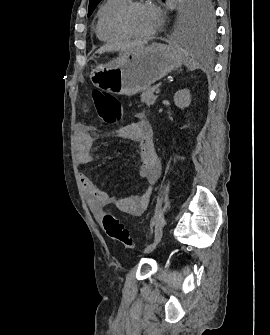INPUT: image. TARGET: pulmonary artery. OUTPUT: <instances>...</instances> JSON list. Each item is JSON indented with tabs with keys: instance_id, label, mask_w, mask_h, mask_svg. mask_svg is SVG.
<instances>
[{
	"instance_id": "pulmonary-artery-1",
	"label": "pulmonary artery",
	"mask_w": 270,
	"mask_h": 335,
	"mask_svg": "<svg viewBox=\"0 0 270 335\" xmlns=\"http://www.w3.org/2000/svg\"><path fill=\"white\" fill-rule=\"evenodd\" d=\"M122 1H124V2H131L132 0H122Z\"/></svg>"
}]
</instances>
